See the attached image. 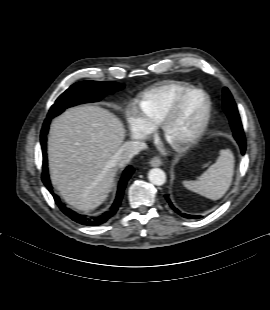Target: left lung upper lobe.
Masks as SVG:
<instances>
[{
	"mask_svg": "<svg viewBox=\"0 0 270 310\" xmlns=\"http://www.w3.org/2000/svg\"><path fill=\"white\" fill-rule=\"evenodd\" d=\"M223 108L230 121L234 137H237L239 135L243 136L244 132L237 106L233 100L230 91L227 88H224L223 90Z\"/></svg>",
	"mask_w": 270,
	"mask_h": 310,
	"instance_id": "1",
	"label": "left lung upper lobe"
}]
</instances>
